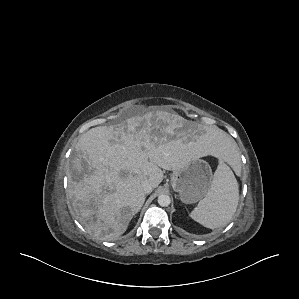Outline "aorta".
I'll return each instance as SVG.
<instances>
[{
  "instance_id": "obj_1",
  "label": "aorta",
  "mask_w": 299,
  "mask_h": 299,
  "mask_svg": "<svg viewBox=\"0 0 299 299\" xmlns=\"http://www.w3.org/2000/svg\"><path fill=\"white\" fill-rule=\"evenodd\" d=\"M171 203L170 196L162 194L158 196V204L162 207H167Z\"/></svg>"
}]
</instances>
